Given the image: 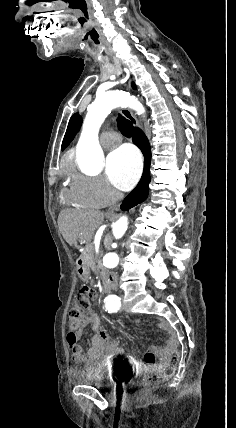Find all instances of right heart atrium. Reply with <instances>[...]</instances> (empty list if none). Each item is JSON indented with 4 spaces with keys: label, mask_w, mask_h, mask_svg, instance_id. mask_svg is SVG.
Here are the masks:
<instances>
[{
    "label": "right heart atrium",
    "mask_w": 236,
    "mask_h": 428,
    "mask_svg": "<svg viewBox=\"0 0 236 428\" xmlns=\"http://www.w3.org/2000/svg\"><path fill=\"white\" fill-rule=\"evenodd\" d=\"M72 192L75 199L84 206H109L121 196L104 178L82 174L74 176Z\"/></svg>",
    "instance_id": "obj_1"
}]
</instances>
